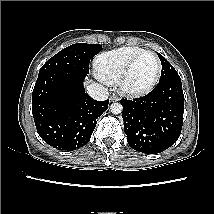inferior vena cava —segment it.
Instances as JSON below:
<instances>
[{
	"instance_id": "1",
	"label": "inferior vena cava",
	"mask_w": 214,
	"mask_h": 214,
	"mask_svg": "<svg viewBox=\"0 0 214 214\" xmlns=\"http://www.w3.org/2000/svg\"><path fill=\"white\" fill-rule=\"evenodd\" d=\"M87 93L90 97L98 101L106 100L109 95L108 89L99 83L88 85Z\"/></svg>"
}]
</instances>
